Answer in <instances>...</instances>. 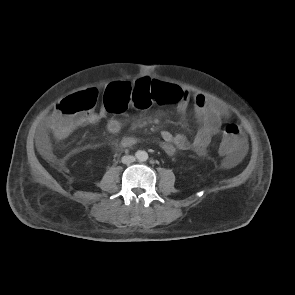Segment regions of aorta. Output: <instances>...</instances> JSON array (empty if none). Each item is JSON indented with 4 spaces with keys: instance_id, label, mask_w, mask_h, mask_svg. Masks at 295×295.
I'll return each mask as SVG.
<instances>
[{
    "instance_id": "aorta-1",
    "label": "aorta",
    "mask_w": 295,
    "mask_h": 295,
    "mask_svg": "<svg viewBox=\"0 0 295 295\" xmlns=\"http://www.w3.org/2000/svg\"><path fill=\"white\" fill-rule=\"evenodd\" d=\"M136 157L139 161H146L148 159V153L144 150H139L136 152Z\"/></svg>"
}]
</instances>
